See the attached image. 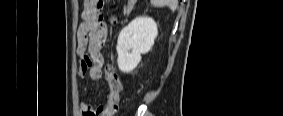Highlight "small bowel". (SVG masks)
<instances>
[{"instance_id": "1", "label": "small bowel", "mask_w": 283, "mask_h": 116, "mask_svg": "<svg viewBox=\"0 0 283 116\" xmlns=\"http://www.w3.org/2000/svg\"><path fill=\"white\" fill-rule=\"evenodd\" d=\"M102 4V0L85 2L82 21L77 30V54L80 57L78 74L82 78L88 75L91 80L102 78L104 65L102 48L107 38V28L102 15ZM81 110L85 116H110L106 105L94 107L85 102Z\"/></svg>"}]
</instances>
